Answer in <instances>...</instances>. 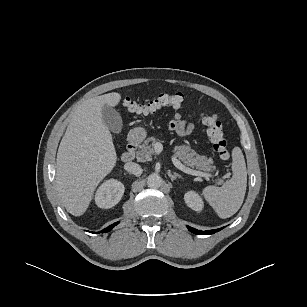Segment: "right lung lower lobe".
Returning <instances> with one entry per match:
<instances>
[{"label":"right lung lower lobe","mask_w":307,"mask_h":307,"mask_svg":"<svg viewBox=\"0 0 307 307\" xmlns=\"http://www.w3.org/2000/svg\"><path fill=\"white\" fill-rule=\"evenodd\" d=\"M117 224H119V222L114 223L113 225L108 226L107 228L103 229L101 231V233H106L108 231H110L114 226H116Z\"/></svg>","instance_id":"obj_1"}]
</instances>
